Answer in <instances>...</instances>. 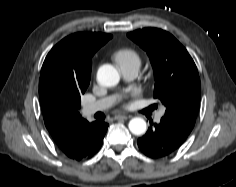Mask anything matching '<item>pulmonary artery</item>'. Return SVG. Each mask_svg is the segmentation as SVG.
<instances>
[{
	"mask_svg": "<svg viewBox=\"0 0 236 187\" xmlns=\"http://www.w3.org/2000/svg\"><path fill=\"white\" fill-rule=\"evenodd\" d=\"M122 74H123L124 78L131 80L137 76L138 70L135 68H129V69L123 70ZM113 103H114V97L109 96V97L101 98L97 101L87 103L86 105H84L83 113L86 116H90L96 112L106 110ZM162 116H163V111L158 112L155 117L156 122H160Z\"/></svg>",
	"mask_w": 236,
	"mask_h": 187,
	"instance_id": "pulmonary-artery-1",
	"label": "pulmonary artery"
}]
</instances>
